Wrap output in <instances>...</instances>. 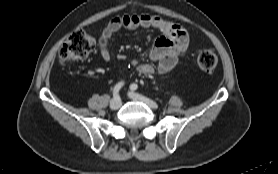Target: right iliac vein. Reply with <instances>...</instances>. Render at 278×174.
<instances>
[{
    "mask_svg": "<svg viewBox=\"0 0 278 174\" xmlns=\"http://www.w3.org/2000/svg\"><path fill=\"white\" fill-rule=\"evenodd\" d=\"M121 105H122L121 99H118V100L112 99L110 101V108L113 109V110H116V109L120 108Z\"/></svg>",
    "mask_w": 278,
    "mask_h": 174,
    "instance_id": "right-iliac-vein-1",
    "label": "right iliac vein"
}]
</instances>
